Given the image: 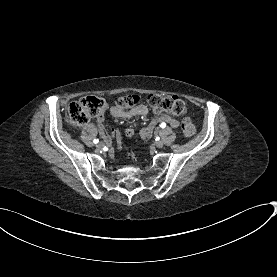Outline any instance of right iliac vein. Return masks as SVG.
<instances>
[{"mask_svg":"<svg viewBox=\"0 0 277 277\" xmlns=\"http://www.w3.org/2000/svg\"><path fill=\"white\" fill-rule=\"evenodd\" d=\"M103 146H104V144H103L102 142H99V143L96 145V147H97L98 149H102Z\"/></svg>","mask_w":277,"mask_h":277,"instance_id":"1","label":"right iliac vein"}]
</instances>
